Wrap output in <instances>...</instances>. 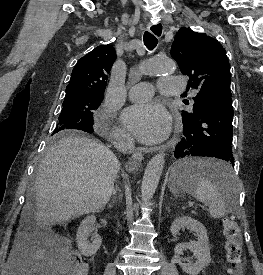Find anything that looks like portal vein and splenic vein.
<instances>
[{
    "mask_svg": "<svg viewBox=\"0 0 263 275\" xmlns=\"http://www.w3.org/2000/svg\"><path fill=\"white\" fill-rule=\"evenodd\" d=\"M194 203L193 202H189V206H192Z\"/></svg>",
    "mask_w": 263,
    "mask_h": 275,
    "instance_id": "obj_1",
    "label": "portal vein and splenic vein"
}]
</instances>
